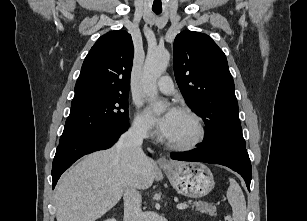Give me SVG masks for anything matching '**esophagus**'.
<instances>
[{
	"instance_id": "esophagus-1",
	"label": "esophagus",
	"mask_w": 307,
	"mask_h": 221,
	"mask_svg": "<svg viewBox=\"0 0 307 221\" xmlns=\"http://www.w3.org/2000/svg\"><path fill=\"white\" fill-rule=\"evenodd\" d=\"M157 163L159 164L160 167L170 166V162L165 157L158 158Z\"/></svg>"
}]
</instances>
